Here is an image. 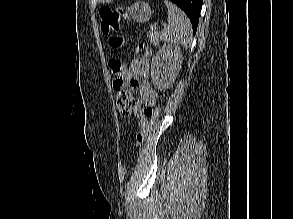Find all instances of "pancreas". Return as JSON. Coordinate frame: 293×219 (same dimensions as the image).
<instances>
[{"mask_svg":"<svg viewBox=\"0 0 293 219\" xmlns=\"http://www.w3.org/2000/svg\"><path fill=\"white\" fill-rule=\"evenodd\" d=\"M147 36H148V38L150 40V43H152L155 46H158V44H159V35H158V33L156 31L150 30L148 32Z\"/></svg>","mask_w":293,"mask_h":219,"instance_id":"cf45deb5","label":"pancreas"}]
</instances>
